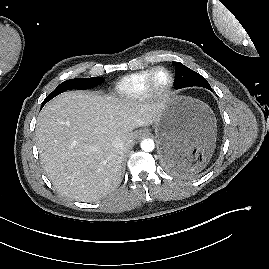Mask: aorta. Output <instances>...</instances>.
Wrapping results in <instances>:
<instances>
[{
	"label": "aorta",
	"instance_id": "obj_1",
	"mask_svg": "<svg viewBox=\"0 0 269 269\" xmlns=\"http://www.w3.org/2000/svg\"><path fill=\"white\" fill-rule=\"evenodd\" d=\"M140 146H141V149L143 151L151 152L155 148V143H154V141L152 139L146 138V139L142 140Z\"/></svg>",
	"mask_w": 269,
	"mask_h": 269
}]
</instances>
